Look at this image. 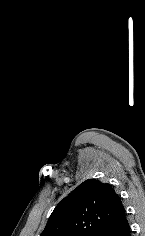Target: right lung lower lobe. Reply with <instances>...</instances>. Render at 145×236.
Masks as SVG:
<instances>
[{"label": "right lung lower lobe", "mask_w": 145, "mask_h": 236, "mask_svg": "<svg viewBox=\"0 0 145 236\" xmlns=\"http://www.w3.org/2000/svg\"><path fill=\"white\" fill-rule=\"evenodd\" d=\"M96 236H131V229L126 214L107 226Z\"/></svg>", "instance_id": "98d812e1"}]
</instances>
